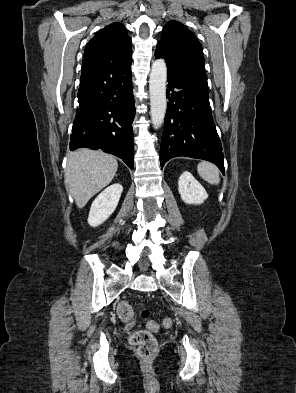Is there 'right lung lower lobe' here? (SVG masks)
I'll return each mask as SVG.
<instances>
[{
	"label": "right lung lower lobe",
	"mask_w": 296,
	"mask_h": 393,
	"mask_svg": "<svg viewBox=\"0 0 296 393\" xmlns=\"http://www.w3.org/2000/svg\"><path fill=\"white\" fill-rule=\"evenodd\" d=\"M132 58L83 62L70 150L102 149L134 167Z\"/></svg>",
	"instance_id": "obj_1"
}]
</instances>
